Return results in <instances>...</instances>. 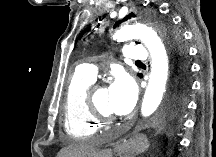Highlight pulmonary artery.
Listing matches in <instances>:
<instances>
[{"label": "pulmonary artery", "mask_w": 216, "mask_h": 157, "mask_svg": "<svg viewBox=\"0 0 216 157\" xmlns=\"http://www.w3.org/2000/svg\"><path fill=\"white\" fill-rule=\"evenodd\" d=\"M124 56L132 61H144L148 57L147 50L142 45H129ZM76 72L82 76L95 80L97 67L93 63H85L78 66Z\"/></svg>", "instance_id": "obj_1"}]
</instances>
